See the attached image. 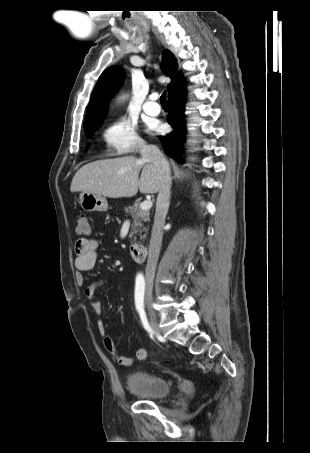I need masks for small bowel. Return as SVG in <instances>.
Instances as JSON below:
<instances>
[{
  "label": "small bowel",
  "instance_id": "1",
  "mask_svg": "<svg viewBox=\"0 0 310 453\" xmlns=\"http://www.w3.org/2000/svg\"><path fill=\"white\" fill-rule=\"evenodd\" d=\"M74 267L76 269V282L78 285H82L85 281L84 272L89 271L94 268L97 257H98V242L90 238H79L75 242L74 246ZM106 281H97L84 289V295L90 301L91 307L96 314H101L102 305L95 298V293L97 289L103 286ZM97 328L99 334L102 336L103 345L106 351L117 361L118 364L122 366L132 365V358L122 355L117 347L114 344V341L110 336L106 334V327L103 320H98ZM147 357V352L144 348H139L136 351V359L139 361L145 360Z\"/></svg>",
  "mask_w": 310,
  "mask_h": 453
}]
</instances>
